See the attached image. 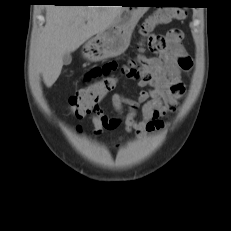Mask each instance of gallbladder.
<instances>
[{
  "label": "gallbladder",
  "mask_w": 231,
  "mask_h": 231,
  "mask_svg": "<svg viewBox=\"0 0 231 231\" xmlns=\"http://www.w3.org/2000/svg\"><path fill=\"white\" fill-rule=\"evenodd\" d=\"M72 61V57L69 53L63 55V65L68 66Z\"/></svg>",
  "instance_id": "obj_1"
}]
</instances>
